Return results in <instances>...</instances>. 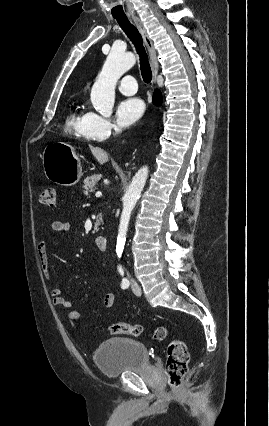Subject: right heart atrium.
Listing matches in <instances>:
<instances>
[{
	"label": "right heart atrium",
	"instance_id": "1",
	"mask_svg": "<svg viewBox=\"0 0 269 426\" xmlns=\"http://www.w3.org/2000/svg\"><path fill=\"white\" fill-rule=\"evenodd\" d=\"M118 133L117 127L106 117L97 113H90L88 135L97 141H104Z\"/></svg>",
	"mask_w": 269,
	"mask_h": 426
}]
</instances>
